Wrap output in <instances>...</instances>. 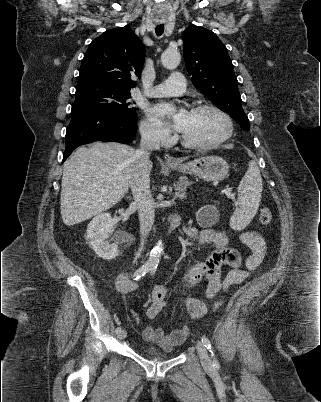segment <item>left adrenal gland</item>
Here are the masks:
<instances>
[{
  "mask_svg": "<svg viewBox=\"0 0 321 402\" xmlns=\"http://www.w3.org/2000/svg\"><path fill=\"white\" fill-rule=\"evenodd\" d=\"M192 184L191 182L188 181L187 177H180L179 182L177 185H175V197H178L180 199L186 198V188Z\"/></svg>",
  "mask_w": 321,
  "mask_h": 402,
  "instance_id": "1",
  "label": "left adrenal gland"
}]
</instances>
